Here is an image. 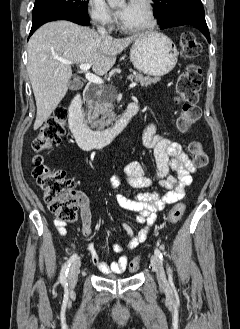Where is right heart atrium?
Instances as JSON below:
<instances>
[{
    "label": "right heart atrium",
    "mask_w": 240,
    "mask_h": 329,
    "mask_svg": "<svg viewBox=\"0 0 240 329\" xmlns=\"http://www.w3.org/2000/svg\"><path fill=\"white\" fill-rule=\"evenodd\" d=\"M88 14L99 27L108 28L114 23V18L104 0H88Z\"/></svg>",
    "instance_id": "right-heart-atrium-1"
}]
</instances>
